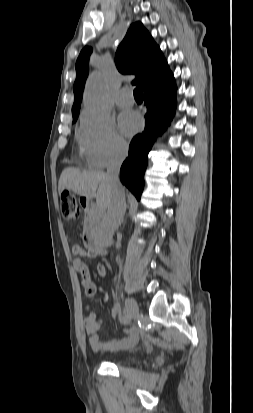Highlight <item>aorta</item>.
Instances as JSON below:
<instances>
[{"mask_svg": "<svg viewBox=\"0 0 253 413\" xmlns=\"http://www.w3.org/2000/svg\"><path fill=\"white\" fill-rule=\"evenodd\" d=\"M109 83L102 73H92L84 91V104L96 117L105 118L109 113Z\"/></svg>", "mask_w": 253, "mask_h": 413, "instance_id": "aorta-1", "label": "aorta"}]
</instances>
